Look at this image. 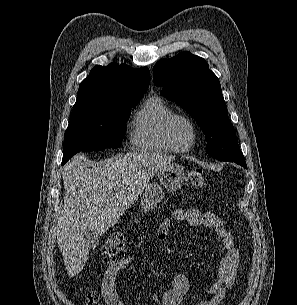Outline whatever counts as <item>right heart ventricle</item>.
<instances>
[{"mask_svg":"<svg viewBox=\"0 0 297 305\" xmlns=\"http://www.w3.org/2000/svg\"><path fill=\"white\" fill-rule=\"evenodd\" d=\"M174 109L161 97L151 96L136 111L131 127V146L141 152H177L165 134Z\"/></svg>","mask_w":297,"mask_h":305,"instance_id":"obj_1","label":"right heart ventricle"}]
</instances>
